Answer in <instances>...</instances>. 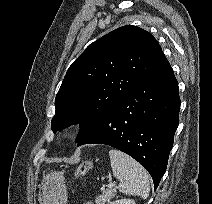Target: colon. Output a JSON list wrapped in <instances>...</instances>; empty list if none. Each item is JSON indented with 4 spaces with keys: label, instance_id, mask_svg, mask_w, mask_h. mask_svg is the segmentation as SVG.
Here are the masks:
<instances>
[{
    "label": "colon",
    "instance_id": "5ec220e1",
    "mask_svg": "<svg viewBox=\"0 0 212 204\" xmlns=\"http://www.w3.org/2000/svg\"><path fill=\"white\" fill-rule=\"evenodd\" d=\"M93 164L91 161H84L82 162L78 168L76 169L75 175L77 177L82 176L84 174H86L91 168H92Z\"/></svg>",
    "mask_w": 212,
    "mask_h": 204
}]
</instances>
